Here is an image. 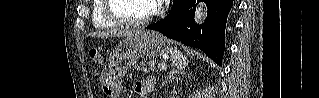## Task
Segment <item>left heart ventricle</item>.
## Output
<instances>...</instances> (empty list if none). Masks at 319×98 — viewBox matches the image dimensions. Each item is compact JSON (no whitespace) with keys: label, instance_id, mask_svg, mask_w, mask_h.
I'll return each instance as SVG.
<instances>
[{"label":"left heart ventricle","instance_id":"1","mask_svg":"<svg viewBox=\"0 0 319 98\" xmlns=\"http://www.w3.org/2000/svg\"><path fill=\"white\" fill-rule=\"evenodd\" d=\"M153 6V1L149 0H114L111 2L112 12L129 20L145 18L152 11Z\"/></svg>","mask_w":319,"mask_h":98}]
</instances>
